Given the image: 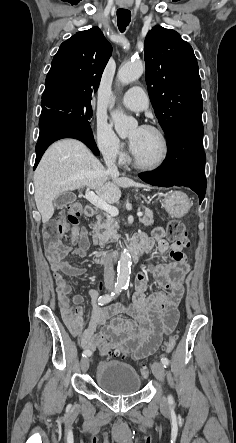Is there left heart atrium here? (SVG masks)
Here are the masks:
<instances>
[{"label":"left heart atrium","instance_id":"39dd6f15","mask_svg":"<svg viewBox=\"0 0 236 443\" xmlns=\"http://www.w3.org/2000/svg\"><path fill=\"white\" fill-rule=\"evenodd\" d=\"M143 129H144V127H140V128H138V130H137V134H136L134 137H132V138L130 139V148H131V150H132L133 152H134V151L136 150V148H137L139 135H140V133L142 132Z\"/></svg>","mask_w":236,"mask_h":443}]
</instances>
